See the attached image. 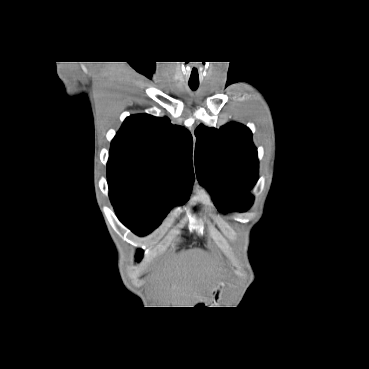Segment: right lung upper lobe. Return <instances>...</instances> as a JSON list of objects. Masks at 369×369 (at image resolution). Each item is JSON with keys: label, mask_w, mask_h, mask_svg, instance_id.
Returning <instances> with one entry per match:
<instances>
[{"label": "right lung upper lobe", "mask_w": 369, "mask_h": 369, "mask_svg": "<svg viewBox=\"0 0 369 369\" xmlns=\"http://www.w3.org/2000/svg\"><path fill=\"white\" fill-rule=\"evenodd\" d=\"M192 136L167 117H127L112 140L107 177L130 181L136 188L180 203L194 183Z\"/></svg>", "instance_id": "cb5924a9"}]
</instances>
